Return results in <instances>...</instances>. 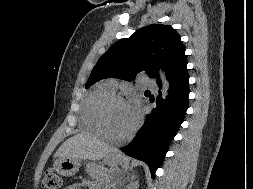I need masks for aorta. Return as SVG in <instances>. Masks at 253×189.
<instances>
[{
  "mask_svg": "<svg viewBox=\"0 0 253 189\" xmlns=\"http://www.w3.org/2000/svg\"><path fill=\"white\" fill-rule=\"evenodd\" d=\"M160 76H161V79H162V88H163L162 98L165 99L166 96H167V93H168V89H169V82L166 79V76H165L164 72L160 71Z\"/></svg>",
  "mask_w": 253,
  "mask_h": 189,
  "instance_id": "762f6f07",
  "label": "aorta"
}]
</instances>
